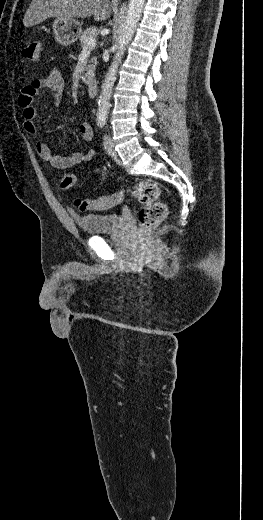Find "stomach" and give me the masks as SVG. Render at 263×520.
Returning <instances> with one entry per match:
<instances>
[{
  "instance_id": "obj_1",
  "label": "stomach",
  "mask_w": 263,
  "mask_h": 520,
  "mask_svg": "<svg viewBox=\"0 0 263 520\" xmlns=\"http://www.w3.org/2000/svg\"><path fill=\"white\" fill-rule=\"evenodd\" d=\"M52 27L55 39L64 46L73 44L82 33L81 23L75 19L57 18Z\"/></svg>"
}]
</instances>
